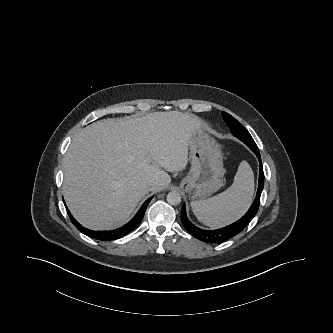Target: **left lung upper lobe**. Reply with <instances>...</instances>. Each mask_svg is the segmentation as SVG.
Wrapping results in <instances>:
<instances>
[{"label": "left lung upper lobe", "instance_id": "left-lung-upper-lobe-1", "mask_svg": "<svg viewBox=\"0 0 333 333\" xmlns=\"http://www.w3.org/2000/svg\"><path fill=\"white\" fill-rule=\"evenodd\" d=\"M222 117L224 118L226 124L230 128L232 134L240 139L242 142H244L247 146L250 148L255 147L257 148V145L253 138L251 137L250 133L247 131V129L238 122L234 117H232L230 114L226 112H222Z\"/></svg>", "mask_w": 333, "mask_h": 333}]
</instances>
